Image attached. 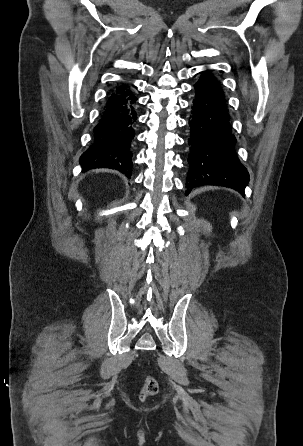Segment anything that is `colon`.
<instances>
[{"label": "colon", "instance_id": "1", "mask_svg": "<svg viewBox=\"0 0 303 446\" xmlns=\"http://www.w3.org/2000/svg\"><path fill=\"white\" fill-rule=\"evenodd\" d=\"M158 393V383L152 376H147L145 383L141 390V398L146 399L147 397L156 395Z\"/></svg>", "mask_w": 303, "mask_h": 446}]
</instances>
